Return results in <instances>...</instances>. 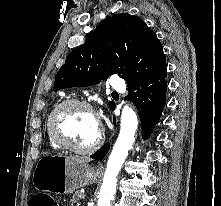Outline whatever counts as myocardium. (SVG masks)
I'll return each instance as SVG.
<instances>
[{
    "label": "myocardium",
    "instance_id": "obj_1",
    "mask_svg": "<svg viewBox=\"0 0 221 206\" xmlns=\"http://www.w3.org/2000/svg\"><path fill=\"white\" fill-rule=\"evenodd\" d=\"M83 107L88 109L93 113V115L97 118L98 116L96 113V110L94 106L83 99H68L60 103L58 106H56L53 111L50 113L49 120H48V127H49V132L53 138V140L62 148L74 152L76 154H82V155H87L95 152L100 145L102 144L103 140V134H102V129L99 124V131H98V136L96 140L89 146L87 147H76L73 145L69 140H67L58 130L57 127V119L58 116L67 108L69 107ZM99 123V121H98Z\"/></svg>",
    "mask_w": 221,
    "mask_h": 206
}]
</instances>
